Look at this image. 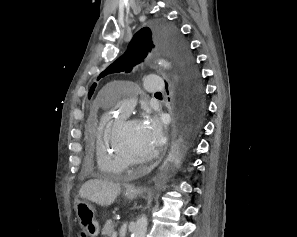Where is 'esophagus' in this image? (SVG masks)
<instances>
[{"label":"esophagus","instance_id":"esophagus-1","mask_svg":"<svg viewBox=\"0 0 297 237\" xmlns=\"http://www.w3.org/2000/svg\"><path fill=\"white\" fill-rule=\"evenodd\" d=\"M128 190L134 191L135 188H134V186L130 185V186H128Z\"/></svg>","mask_w":297,"mask_h":237}]
</instances>
